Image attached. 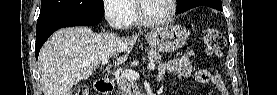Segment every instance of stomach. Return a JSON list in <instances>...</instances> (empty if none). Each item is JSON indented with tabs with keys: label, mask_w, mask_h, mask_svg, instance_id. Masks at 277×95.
<instances>
[{
	"label": "stomach",
	"mask_w": 277,
	"mask_h": 95,
	"mask_svg": "<svg viewBox=\"0 0 277 95\" xmlns=\"http://www.w3.org/2000/svg\"><path fill=\"white\" fill-rule=\"evenodd\" d=\"M187 37V30L179 25L156 28L146 36L149 45L162 52L178 50L185 44Z\"/></svg>",
	"instance_id": "stomach-1"
}]
</instances>
